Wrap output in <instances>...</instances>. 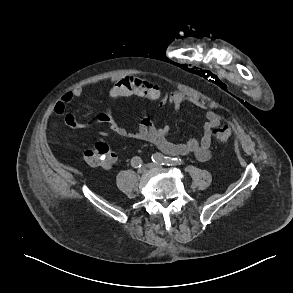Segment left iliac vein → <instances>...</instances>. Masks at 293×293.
Wrapping results in <instances>:
<instances>
[{
	"label": "left iliac vein",
	"instance_id": "1",
	"mask_svg": "<svg viewBox=\"0 0 293 293\" xmlns=\"http://www.w3.org/2000/svg\"><path fill=\"white\" fill-rule=\"evenodd\" d=\"M146 167L149 169H161L162 168V166L160 164H156L153 162L146 164Z\"/></svg>",
	"mask_w": 293,
	"mask_h": 293
}]
</instances>
